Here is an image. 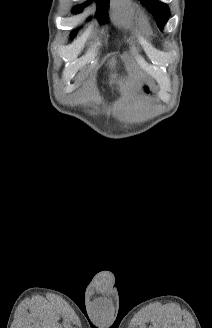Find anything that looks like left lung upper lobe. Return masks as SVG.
Returning a JSON list of instances; mask_svg holds the SVG:
<instances>
[{"label":"left lung upper lobe","mask_w":212,"mask_h":328,"mask_svg":"<svg viewBox=\"0 0 212 328\" xmlns=\"http://www.w3.org/2000/svg\"><path fill=\"white\" fill-rule=\"evenodd\" d=\"M141 4L148 9V11L154 16L157 21L158 27L162 30L166 24L170 12L166 4L161 3L157 0H140Z\"/></svg>","instance_id":"5c2ea615"}]
</instances>
